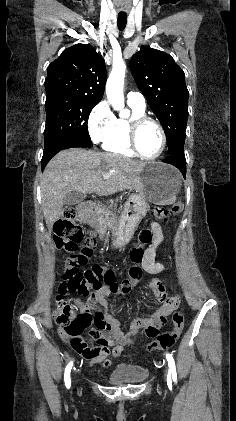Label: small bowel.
Returning <instances> with one entry per match:
<instances>
[{
	"label": "small bowel",
	"mask_w": 236,
	"mask_h": 421,
	"mask_svg": "<svg viewBox=\"0 0 236 421\" xmlns=\"http://www.w3.org/2000/svg\"><path fill=\"white\" fill-rule=\"evenodd\" d=\"M150 228L152 230L153 233V245L147 250L146 256L144 258V266L148 269V270H154L155 267L154 265V249L161 243L162 239H163V234H162V230L161 227L159 226L158 223L156 222H151L150 223ZM159 288L162 290H159ZM150 289L152 290V292L158 297V298H165V290H164V286L162 284H160L159 282H152L150 284ZM109 295V291L107 289H102L99 290L95 293H93L87 302V305L90 306L91 308L100 306L103 309V313L102 314H97V322L98 325L101 326V329H106L105 327H109L110 325L114 326L115 328L119 329V324L118 322L113 319L107 312L108 309V303L105 300V296ZM78 304H80L78 302ZM175 303L172 302V304L169 307L164 308L161 313L154 319V325L158 326L156 324V322L158 320H161L162 317L161 316H165L167 314H169L171 312V308L174 307ZM149 323H145V322H135L133 324V329L139 328L142 325H148ZM102 330H91L89 332L90 336H92L93 338H95L98 342L99 345L102 344V341L105 340L102 334ZM59 334L61 336V338L65 341L68 342L67 336L66 334L60 330ZM121 352V349L116 347L113 349L111 356L112 357H117ZM108 356V352H102L101 354L97 355V356H92V357H85L87 359H89L91 362L95 363H101L104 367H107L110 365L111 360L107 357Z\"/></svg>",
	"instance_id": "obj_1"
}]
</instances>
